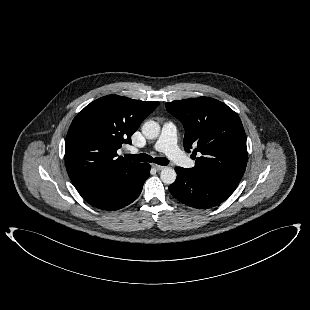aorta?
Listing matches in <instances>:
<instances>
[{
    "instance_id": "1",
    "label": "aorta",
    "mask_w": 310,
    "mask_h": 310,
    "mask_svg": "<svg viewBox=\"0 0 310 310\" xmlns=\"http://www.w3.org/2000/svg\"><path fill=\"white\" fill-rule=\"evenodd\" d=\"M142 133L147 139H155L160 134V125L155 121H147L142 126ZM176 171L166 167L160 173V178L164 184H172L176 180Z\"/></svg>"
}]
</instances>
